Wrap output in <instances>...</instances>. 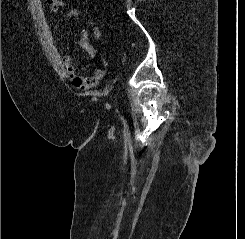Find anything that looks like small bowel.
<instances>
[{
  "mask_svg": "<svg viewBox=\"0 0 245 239\" xmlns=\"http://www.w3.org/2000/svg\"><path fill=\"white\" fill-rule=\"evenodd\" d=\"M51 5V11L56 13L59 9L66 5L65 0H54ZM80 16V11L77 8H71L68 10L66 17L70 19H77ZM81 48L88 54L91 59H95L97 56V51L92 43L89 41L86 34L82 35L80 40ZM61 61L64 65V69L66 74L69 76L73 84L81 89L88 90L94 86H96L105 76V70L103 67H98L95 71L89 75L84 76L77 73L74 59L72 56L68 54L61 55Z\"/></svg>",
  "mask_w": 245,
  "mask_h": 239,
  "instance_id": "1",
  "label": "small bowel"
}]
</instances>
